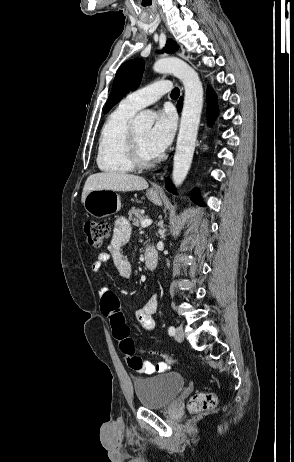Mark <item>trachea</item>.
<instances>
[{
	"instance_id": "obj_1",
	"label": "trachea",
	"mask_w": 294,
	"mask_h": 462,
	"mask_svg": "<svg viewBox=\"0 0 294 462\" xmlns=\"http://www.w3.org/2000/svg\"><path fill=\"white\" fill-rule=\"evenodd\" d=\"M179 94H180L179 89H178V88H174V89L172 90V92H171V97L176 98V97L179 96Z\"/></svg>"
}]
</instances>
